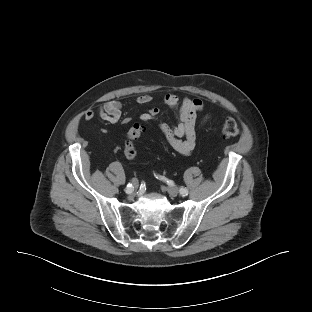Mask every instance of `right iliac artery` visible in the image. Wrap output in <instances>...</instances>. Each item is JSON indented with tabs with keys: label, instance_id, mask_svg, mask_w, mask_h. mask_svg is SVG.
Segmentation results:
<instances>
[{
	"label": "right iliac artery",
	"instance_id": "82829eb1",
	"mask_svg": "<svg viewBox=\"0 0 312 312\" xmlns=\"http://www.w3.org/2000/svg\"><path fill=\"white\" fill-rule=\"evenodd\" d=\"M134 190V187H133V185L132 184H128L127 185V187H126V189H125V191H126V193H132V191Z\"/></svg>",
	"mask_w": 312,
	"mask_h": 312
}]
</instances>
